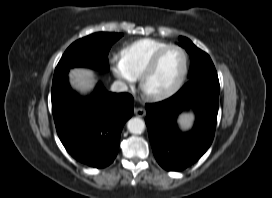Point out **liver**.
Segmentation results:
<instances>
[{
    "label": "liver",
    "instance_id": "obj_1",
    "mask_svg": "<svg viewBox=\"0 0 272 198\" xmlns=\"http://www.w3.org/2000/svg\"><path fill=\"white\" fill-rule=\"evenodd\" d=\"M70 84L80 94L89 93L95 86L94 71L85 67L71 69L68 74Z\"/></svg>",
    "mask_w": 272,
    "mask_h": 198
}]
</instances>
